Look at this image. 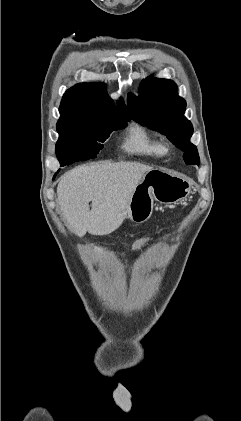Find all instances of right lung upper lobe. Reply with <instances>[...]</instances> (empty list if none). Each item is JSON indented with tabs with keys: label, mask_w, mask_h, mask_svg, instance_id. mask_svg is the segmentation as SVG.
I'll return each instance as SVG.
<instances>
[{
	"label": "right lung upper lobe",
	"mask_w": 241,
	"mask_h": 421,
	"mask_svg": "<svg viewBox=\"0 0 241 421\" xmlns=\"http://www.w3.org/2000/svg\"><path fill=\"white\" fill-rule=\"evenodd\" d=\"M60 119L70 122H94L101 118H130L124 104L115 111L113 102L102 84L80 83L64 94L60 104Z\"/></svg>",
	"instance_id": "obj_1"
}]
</instances>
